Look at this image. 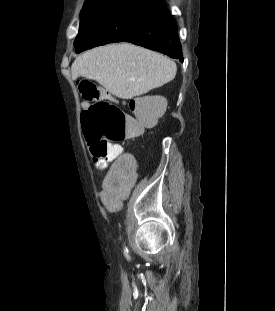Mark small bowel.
<instances>
[{"instance_id":"1","label":"small bowel","mask_w":275,"mask_h":311,"mask_svg":"<svg viewBox=\"0 0 275 311\" xmlns=\"http://www.w3.org/2000/svg\"><path fill=\"white\" fill-rule=\"evenodd\" d=\"M89 107L87 102L82 103V108L86 110ZM121 154V155H120ZM120 154L113 160L112 169H109V173L101 183V190L104 194H101V201L103 207H105V213H122V199L130 191L134 181L138 179V169L133 167L139 166L138 160H133L136 152L135 150H122L120 147ZM106 160H94V167L97 170H103L106 167Z\"/></svg>"}]
</instances>
